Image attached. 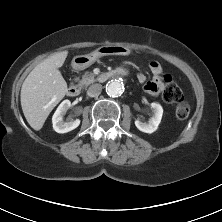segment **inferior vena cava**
<instances>
[{"label": "inferior vena cava", "mask_w": 222, "mask_h": 222, "mask_svg": "<svg viewBox=\"0 0 222 222\" xmlns=\"http://www.w3.org/2000/svg\"><path fill=\"white\" fill-rule=\"evenodd\" d=\"M102 91V85L101 84H93L91 85L88 90H87V94L90 96V97H96V96H99V94L101 93Z\"/></svg>", "instance_id": "602c4592"}]
</instances>
